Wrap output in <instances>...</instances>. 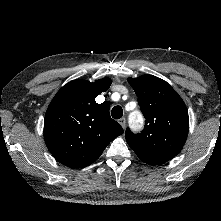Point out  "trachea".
<instances>
[{"instance_id": "3493384b", "label": "trachea", "mask_w": 221, "mask_h": 221, "mask_svg": "<svg viewBox=\"0 0 221 221\" xmlns=\"http://www.w3.org/2000/svg\"><path fill=\"white\" fill-rule=\"evenodd\" d=\"M111 115L114 119H120L123 115V109L121 106H114L111 110Z\"/></svg>"}]
</instances>
